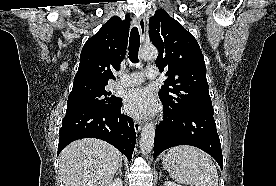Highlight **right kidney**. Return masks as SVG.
<instances>
[{
  "label": "right kidney",
  "instance_id": "obj_1",
  "mask_svg": "<svg viewBox=\"0 0 276 186\" xmlns=\"http://www.w3.org/2000/svg\"><path fill=\"white\" fill-rule=\"evenodd\" d=\"M108 186H123V181L120 178L114 179Z\"/></svg>",
  "mask_w": 276,
  "mask_h": 186
}]
</instances>
